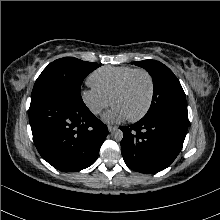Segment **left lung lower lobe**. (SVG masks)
Returning <instances> with one entry per match:
<instances>
[{
  "label": "left lung lower lobe",
  "instance_id": "0a47b994",
  "mask_svg": "<svg viewBox=\"0 0 220 220\" xmlns=\"http://www.w3.org/2000/svg\"><path fill=\"white\" fill-rule=\"evenodd\" d=\"M121 152L126 165L137 172L154 174L178 156L188 125L172 117H153L120 127Z\"/></svg>",
  "mask_w": 220,
  "mask_h": 220
}]
</instances>
